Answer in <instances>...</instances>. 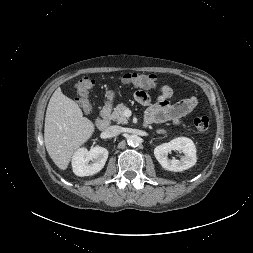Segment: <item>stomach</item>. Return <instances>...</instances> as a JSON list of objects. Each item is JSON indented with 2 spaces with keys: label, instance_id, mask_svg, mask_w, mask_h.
Here are the masks:
<instances>
[{
  "label": "stomach",
  "instance_id": "0dacf381",
  "mask_svg": "<svg viewBox=\"0 0 253 253\" xmlns=\"http://www.w3.org/2000/svg\"><path fill=\"white\" fill-rule=\"evenodd\" d=\"M108 98H109V100H112L114 98V92L113 91L108 92Z\"/></svg>",
  "mask_w": 253,
  "mask_h": 253
}]
</instances>
